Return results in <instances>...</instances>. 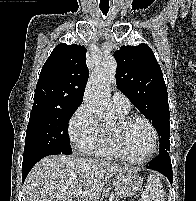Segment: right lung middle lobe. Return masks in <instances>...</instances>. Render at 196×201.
Wrapping results in <instances>:
<instances>
[{
	"label": "right lung middle lobe",
	"mask_w": 196,
	"mask_h": 201,
	"mask_svg": "<svg viewBox=\"0 0 196 201\" xmlns=\"http://www.w3.org/2000/svg\"><path fill=\"white\" fill-rule=\"evenodd\" d=\"M78 107L33 105L27 126L24 156L42 149H56L72 154L67 126Z\"/></svg>",
	"instance_id": "right-lung-middle-lobe-1"
}]
</instances>
